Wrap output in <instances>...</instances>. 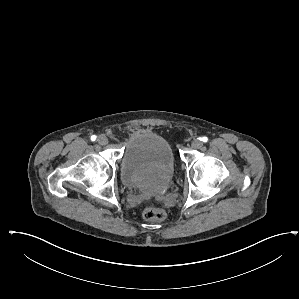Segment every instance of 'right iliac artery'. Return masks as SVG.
Listing matches in <instances>:
<instances>
[{
	"label": "right iliac artery",
	"mask_w": 299,
	"mask_h": 299,
	"mask_svg": "<svg viewBox=\"0 0 299 299\" xmlns=\"http://www.w3.org/2000/svg\"><path fill=\"white\" fill-rule=\"evenodd\" d=\"M96 138H97V137H96L95 135H92V136H91V140H92V141H95Z\"/></svg>",
	"instance_id": "1"
}]
</instances>
